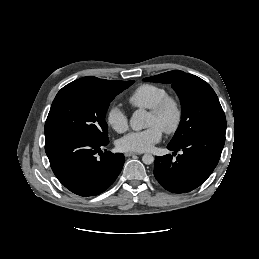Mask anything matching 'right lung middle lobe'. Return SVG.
Instances as JSON below:
<instances>
[{"instance_id": "right-lung-middle-lobe-1", "label": "right lung middle lobe", "mask_w": 259, "mask_h": 259, "mask_svg": "<svg viewBox=\"0 0 259 259\" xmlns=\"http://www.w3.org/2000/svg\"><path fill=\"white\" fill-rule=\"evenodd\" d=\"M134 81H114L108 89H98L73 81L56 95L45 123V138L81 136L108 141L106 111L113 98Z\"/></svg>"}]
</instances>
